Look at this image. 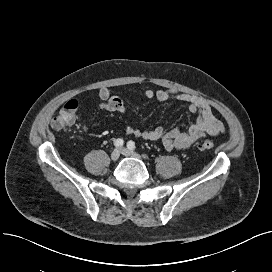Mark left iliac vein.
Here are the masks:
<instances>
[{
	"label": "left iliac vein",
	"mask_w": 272,
	"mask_h": 272,
	"mask_svg": "<svg viewBox=\"0 0 272 272\" xmlns=\"http://www.w3.org/2000/svg\"><path fill=\"white\" fill-rule=\"evenodd\" d=\"M121 153L124 155V156H127V157H134V158H137V159H141L140 155H138L137 153L127 149V148H122L121 149Z\"/></svg>",
	"instance_id": "4c4485c4"
}]
</instances>
